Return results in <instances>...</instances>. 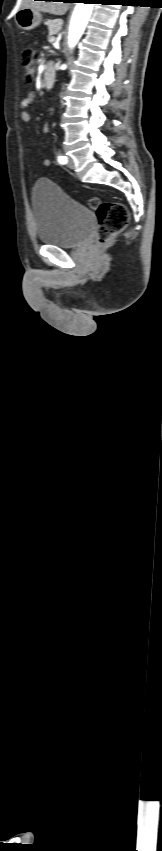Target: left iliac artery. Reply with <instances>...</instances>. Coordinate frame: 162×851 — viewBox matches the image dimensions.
Wrapping results in <instances>:
<instances>
[{
	"instance_id": "44dca946",
	"label": "left iliac artery",
	"mask_w": 162,
	"mask_h": 851,
	"mask_svg": "<svg viewBox=\"0 0 162 851\" xmlns=\"http://www.w3.org/2000/svg\"><path fill=\"white\" fill-rule=\"evenodd\" d=\"M58 161H59V163H61V164H66V163H67V158H66L65 156L59 155V156H58Z\"/></svg>"
}]
</instances>
